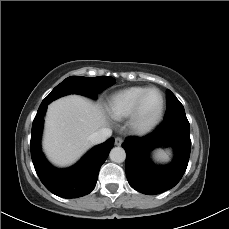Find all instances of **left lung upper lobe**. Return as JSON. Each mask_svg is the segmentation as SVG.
Returning a JSON list of instances; mask_svg holds the SVG:
<instances>
[{
    "instance_id": "left-lung-upper-lobe-1",
    "label": "left lung upper lobe",
    "mask_w": 229,
    "mask_h": 229,
    "mask_svg": "<svg viewBox=\"0 0 229 229\" xmlns=\"http://www.w3.org/2000/svg\"><path fill=\"white\" fill-rule=\"evenodd\" d=\"M167 95V111L164 120L171 119L178 116H186L183 105L176 98V96L170 91H166Z\"/></svg>"
}]
</instances>
